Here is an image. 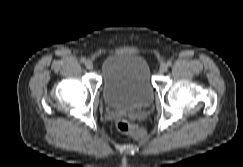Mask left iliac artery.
Masks as SVG:
<instances>
[{"label":"left iliac artery","mask_w":243,"mask_h":167,"mask_svg":"<svg viewBox=\"0 0 243 167\" xmlns=\"http://www.w3.org/2000/svg\"><path fill=\"white\" fill-rule=\"evenodd\" d=\"M167 65H168V66H171V65H172V62H171V61H168V62H167Z\"/></svg>","instance_id":"44dca946"}]
</instances>
